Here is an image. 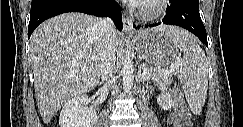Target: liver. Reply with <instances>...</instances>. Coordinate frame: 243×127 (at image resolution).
Listing matches in <instances>:
<instances>
[{
	"label": "liver",
	"mask_w": 243,
	"mask_h": 127,
	"mask_svg": "<svg viewBox=\"0 0 243 127\" xmlns=\"http://www.w3.org/2000/svg\"><path fill=\"white\" fill-rule=\"evenodd\" d=\"M99 21L87 14L65 13L46 20L33 32L30 59L44 123H49L63 104L99 83L104 36ZM113 39L117 48L122 36L116 32Z\"/></svg>",
	"instance_id": "1"
}]
</instances>
